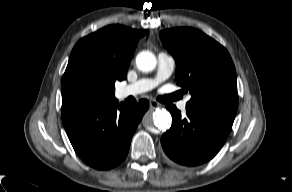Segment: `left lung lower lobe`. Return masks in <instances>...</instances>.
Returning <instances> with one entry per match:
<instances>
[{
  "mask_svg": "<svg viewBox=\"0 0 292 192\" xmlns=\"http://www.w3.org/2000/svg\"><path fill=\"white\" fill-rule=\"evenodd\" d=\"M171 128L162 136L166 155L177 164L197 166L212 159L225 143L234 117L186 109V117L173 105Z\"/></svg>",
  "mask_w": 292,
  "mask_h": 192,
  "instance_id": "obj_1",
  "label": "left lung lower lobe"
}]
</instances>
